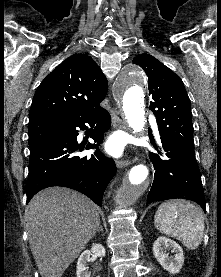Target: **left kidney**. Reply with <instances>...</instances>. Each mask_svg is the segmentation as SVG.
Returning a JSON list of instances; mask_svg holds the SVG:
<instances>
[{
	"instance_id": "5707ae66",
	"label": "left kidney",
	"mask_w": 221,
	"mask_h": 277,
	"mask_svg": "<svg viewBox=\"0 0 221 277\" xmlns=\"http://www.w3.org/2000/svg\"><path fill=\"white\" fill-rule=\"evenodd\" d=\"M167 250H171L175 255L169 257L168 253H166ZM153 253L156 260L165 270L171 274L180 272L184 263V254L177 242L164 236L158 237L153 244Z\"/></svg>"
}]
</instances>
